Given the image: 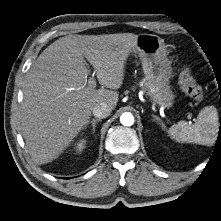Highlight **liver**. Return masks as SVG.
I'll return each instance as SVG.
<instances>
[{
	"label": "liver",
	"instance_id": "obj_1",
	"mask_svg": "<svg viewBox=\"0 0 221 221\" xmlns=\"http://www.w3.org/2000/svg\"><path fill=\"white\" fill-rule=\"evenodd\" d=\"M137 38L130 33L66 36L40 54L25 76L22 107L23 137L38 164L63 153L90 122L94 106L116 108L114 90L123 84L125 63ZM87 61L101 89L91 87Z\"/></svg>",
	"mask_w": 221,
	"mask_h": 221
}]
</instances>
